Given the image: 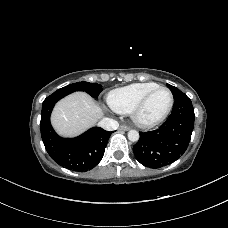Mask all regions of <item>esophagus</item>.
Listing matches in <instances>:
<instances>
[{"mask_svg": "<svg viewBox=\"0 0 228 228\" xmlns=\"http://www.w3.org/2000/svg\"><path fill=\"white\" fill-rule=\"evenodd\" d=\"M129 129H130V127L129 126H126V125H121L119 127V130H122V131H128Z\"/></svg>", "mask_w": 228, "mask_h": 228, "instance_id": "34e87169", "label": "esophagus"}]
</instances>
